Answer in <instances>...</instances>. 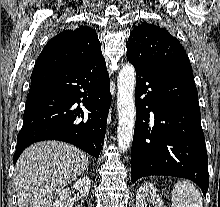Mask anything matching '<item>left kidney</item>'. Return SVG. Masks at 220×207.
<instances>
[{
  "mask_svg": "<svg viewBox=\"0 0 220 207\" xmlns=\"http://www.w3.org/2000/svg\"><path fill=\"white\" fill-rule=\"evenodd\" d=\"M148 201L153 203L154 207H165L153 184L145 182L137 190L136 207H147Z\"/></svg>",
  "mask_w": 220,
  "mask_h": 207,
  "instance_id": "obj_1",
  "label": "left kidney"
}]
</instances>
